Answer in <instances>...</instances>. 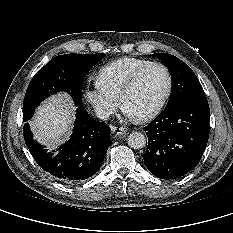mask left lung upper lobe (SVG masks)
I'll use <instances>...</instances> for the list:
<instances>
[{
	"label": "left lung upper lobe",
	"mask_w": 233,
	"mask_h": 233,
	"mask_svg": "<svg viewBox=\"0 0 233 233\" xmlns=\"http://www.w3.org/2000/svg\"><path fill=\"white\" fill-rule=\"evenodd\" d=\"M153 55L167 66L171 74L172 91L166 106L184 100H207L198 78L186 63L167 53Z\"/></svg>",
	"instance_id": "1"
}]
</instances>
